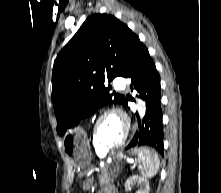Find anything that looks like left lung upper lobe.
Wrapping results in <instances>:
<instances>
[{"label":"left lung upper lobe","mask_w":221,"mask_h":193,"mask_svg":"<svg viewBox=\"0 0 221 193\" xmlns=\"http://www.w3.org/2000/svg\"><path fill=\"white\" fill-rule=\"evenodd\" d=\"M139 43L138 36L112 15L86 19L54 62L52 101L59 135L105 104H125L126 98L110 93L105 83L122 76Z\"/></svg>","instance_id":"5c2ea615"}]
</instances>
